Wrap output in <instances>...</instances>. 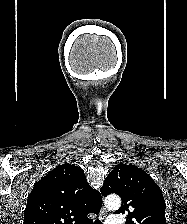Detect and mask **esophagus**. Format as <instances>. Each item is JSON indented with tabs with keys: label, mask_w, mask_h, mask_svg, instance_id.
Instances as JSON below:
<instances>
[{
	"label": "esophagus",
	"mask_w": 187,
	"mask_h": 224,
	"mask_svg": "<svg viewBox=\"0 0 187 224\" xmlns=\"http://www.w3.org/2000/svg\"><path fill=\"white\" fill-rule=\"evenodd\" d=\"M107 216V210L105 207H102L99 213V219L104 220Z\"/></svg>",
	"instance_id": "1"
}]
</instances>
